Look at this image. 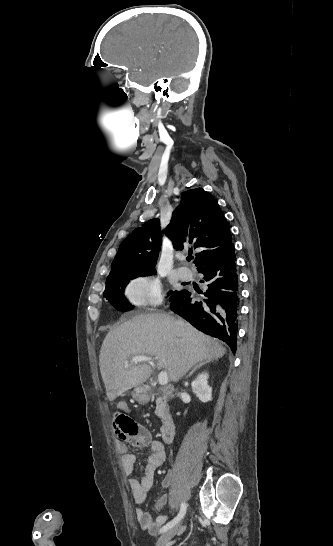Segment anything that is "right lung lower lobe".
Returning a JSON list of instances; mask_svg holds the SVG:
<instances>
[{"mask_svg":"<svg viewBox=\"0 0 333 546\" xmlns=\"http://www.w3.org/2000/svg\"><path fill=\"white\" fill-rule=\"evenodd\" d=\"M198 272L208 287L204 298L198 301L187 290L174 291L169 298L170 309L198 330L224 341L234 353L240 304L234 245Z\"/></svg>","mask_w":333,"mask_h":546,"instance_id":"98d812e1","label":"right lung lower lobe"}]
</instances>
